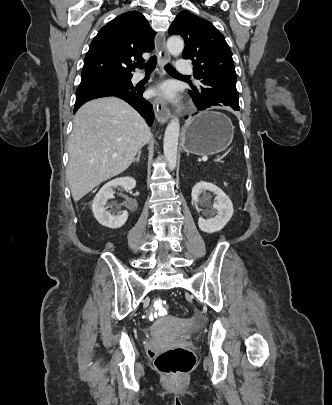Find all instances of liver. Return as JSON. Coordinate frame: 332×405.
<instances>
[{"instance_id": "6515ba94", "label": "liver", "mask_w": 332, "mask_h": 405, "mask_svg": "<svg viewBox=\"0 0 332 405\" xmlns=\"http://www.w3.org/2000/svg\"><path fill=\"white\" fill-rule=\"evenodd\" d=\"M150 138L144 119L121 99L85 103L68 140L66 175L74 201L125 171Z\"/></svg>"}]
</instances>
